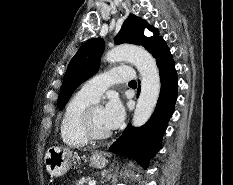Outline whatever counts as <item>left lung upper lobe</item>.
Instances as JSON below:
<instances>
[{
	"mask_svg": "<svg viewBox=\"0 0 233 185\" xmlns=\"http://www.w3.org/2000/svg\"><path fill=\"white\" fill-rule=\"evenodd\" d=\"M144 28L151 30L154 33L153 36H144ZM161 39L162 37L159 36L157 29L149 26L145 20L131 14L123 23L114 41L116 44L132 43L141 45L151 53ZM103 50L104 42L101 38L90 39L80 47L72 58L65 73L59 95L58 108L60 110L66 105L74 90L96 73Z\"/></svg>",
	"mask_w": 233,
	"mask_h": 185,
	"instance_id": "1",
	"label": "left lung upper lobe"
}]
</instances>
